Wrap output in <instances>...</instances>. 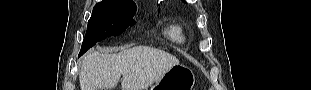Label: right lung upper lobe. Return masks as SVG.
I'll return each mask as SVG.
<instances>
[{
  "instance_id": "right-lung-upper-lobe-1",
  "label": "right lung upper lobe",
  "mask_w": 311,
  "mask_h": 90,
  "mask_svg": "<svg viewBox=\"0 0 311 90\" xmlns=\"http://www.w3.org/2000/svg\"><path fill=\"white\" fill-rule=\"evenodd\" d=\"M121 2V3H129V4H135L132 0H103L102 2Z\"/></svg>"
}]
</instances>
